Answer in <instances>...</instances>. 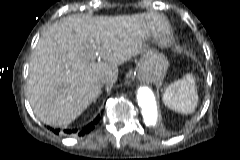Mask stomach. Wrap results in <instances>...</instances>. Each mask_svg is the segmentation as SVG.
Here are the masks:
<instances>
[{
    "label": "stomach",
    "instance_id": "1",
    "mask_svg": "<svg viewBox=\"0 0 240 160\" xmlns=\"http://www.w3.org/2000/svg\"><path fill=\"white\" fill-rule=\"evenodd\" d=\"M167 58L148 46L142 53L141 73L154 81H161L168 70Z\"/></svg>",
    "mask_w": 240,
    "mask_h": 160
}]
</instances>
